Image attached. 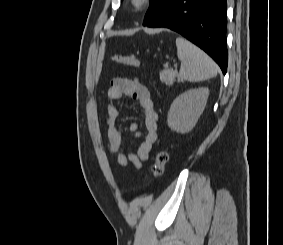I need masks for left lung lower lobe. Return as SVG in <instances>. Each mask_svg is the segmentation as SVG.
Instances as JSON below:
<instances>
[{"mask_svg": "<svg viewBox=\"0 0 283 245\" xmlns=\"http://www.w3.org/2000/svg\"><path fill=\"white\" fill-rule=\"evenodd\" d=\"M226 0H173L148 27L174 30L203 49L227 71Z\"/></svg>", "mask_w": 283, "mask_h": 245, "instance_id": "left-lung-lower-lobe-1", "label": "left lung lower lobe"}]
</instances>
